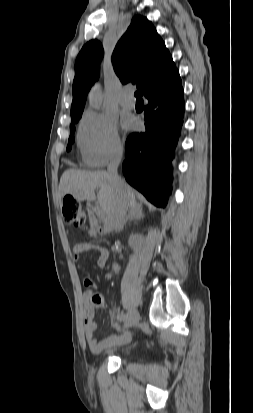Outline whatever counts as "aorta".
<instances>
[{"instance_id": "762f6f07", "label": "aorta", "mask_w": 253, "mask_h": 413, "mask_svg": "<svg viewBox=\"0 0 253 413\" xmlns=\"http://www.w3.org/2000/svg\"><path fill=\"white\" fill-rule=\"evenodd\" d=\"M90 106L96 110L102 108L103 104V92L99 86H96L90 93L89 97Z\"/></svg>"}]
</instances>
